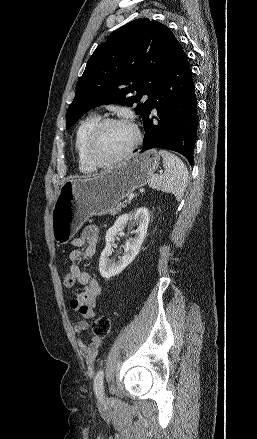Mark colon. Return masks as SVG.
<instances>
[{"mask_svg":"<svg viewBox=\"0 0 257 439\" xmlns=\"http://www.w3.org/2000/svg\"><path fill=\"white\" fill-rule=\"evenodd\" d=\"M75 283V279L70 271L66 272L63 276V284L65 287H72ZM111 329V323L108 317L98 316L94 319L92 324V331L94 336L98 338H105L109 335Z\"/></svg>","mask_w":257,"mask_h":439,"instance_id":"obj_1","label":"colon"}]
</instances>
